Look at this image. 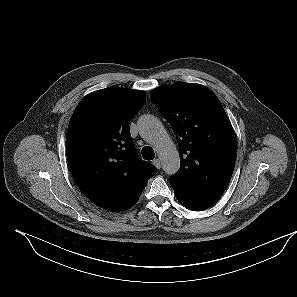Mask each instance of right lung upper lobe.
Instances as JSON below:
<instances>
[{"label": "right lung upper lobe", "mask_w": 297, "mask_h": 297, "mask_svg": "<svg viewBox=\"0 0 297 297\" xmlns=\"http://www.w3.org/2000/svg\"><path fill=\"white\" fill-rule=\"evenodd\" d=\"M145 101L144 91L108 87L86 95L70 119L66 136L70 171L83 194L105 210L131 208L157 172L140 159L129 130Z\"/></svg>", "instance_id": "1"}]
</instances>
